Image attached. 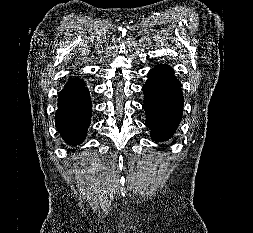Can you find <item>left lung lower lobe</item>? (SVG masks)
Returning a JSON list of instances; mask_svg holds the SVG:
<instances>
[{
  "label": "left lung lower lobe",
  "mask_w": 253,
  "mask_h": 233,
  "mask_svg": "<svg viewBox=\"0 0 253 233\" xmlns=\"http://www.w3.org/2000/svg\"><path fill=\"white\" fill-rule=\"evenodd\" d=\"M142 90L146 126L151 130L152 140L165 141L174 134L182 118L181 84L171 67L159 64L149 71Z\"/></svg>",
  "instance_id": "left-lung-lower-lobe-1"
}]
</instances>
